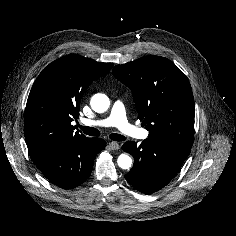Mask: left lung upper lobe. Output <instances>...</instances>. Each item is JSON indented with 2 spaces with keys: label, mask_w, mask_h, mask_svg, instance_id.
<instances>
[{
  "label": "left lung upper lobe",
  "mask_w": 236,
  "mask_h": 236,
  "mask_svg": "<svg viewBox=\"0 0 236 236\" xmlns=\"http://www.w3.org/2000/svg\"><path fill=\"white\" fill-rule=\"evenodd\" d=\"M113 74L132 91L149 137L192 147L193 93L187 76L172 61L149 55L116 65Z\"/></svg>",
  "instance_id": "5c2ea615"
}]
</instances>
